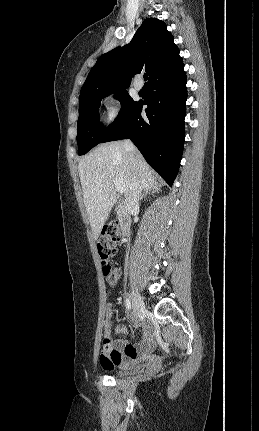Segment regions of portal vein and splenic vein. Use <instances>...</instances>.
<instances>
[{
    "instance_id": "portal-vein-and-splenic-vein-1",
    "label": "portal vein and splenic vein",
    "mask_w": 259,
    "mask_h": 431,
    "mask_svg": "<svg viewBox=\"0 0 259 431\" xmlns=\"http://www.w3.org/2000/svg\"><path fill=\"white\" fill-rule=\"evenodd\" d=\"M113 183H114V185H115V187H116V189H117L118 192H120V193H124L125 192V186H124V184H123L122 181H120L118 179H115V180H113Z\"/></svg>"
}]
</instances>
